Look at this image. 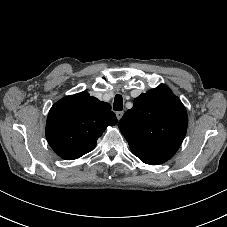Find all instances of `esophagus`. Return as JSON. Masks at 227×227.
<instances>
[{
    "instance_id": "34e87169",
    "label": "esophagus",
    "mask_w": 227,
    "mask_h": 227,
    "mask_svg": "<svg viewBox=\"0 0 227 227\" xmlns=\"http://www.w3.org/2000/svg\"><path fill=\"white\" fill-rule=\"evenodd\" d=\"M123 114H124L123 111H118V112H116V117H117V119L120 120V119L122 118Z\"/></svg>"
}]
</instances>
